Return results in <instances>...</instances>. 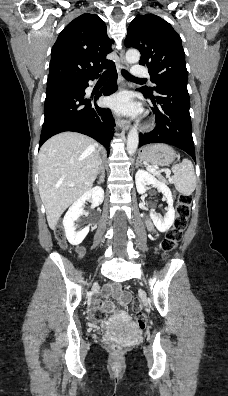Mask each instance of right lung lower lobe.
I'll use <instances>...</instances> for the list:
<instances>
[{
    "instance_id": "obj_1",
    "label": "right lung lower lobe",
    "mask_w": 228,
    "mask_h": 396,
    "mask_svg": "<svg viewBox=\"0 0 228 396\" xmlns=\"http://www.w3.org/2000/svg\"><path fill=\"white\" fill-rule=\"evenodd\" d=\"M111 77L101 92L91 98L85 97L88 81H62L47 85L45 119L39 147L50 137L64 131L88 135L106 149L109 148L114 119L110 109L100 108L96 101L101 95H110L117 90L116 68L110 66ZM98 76L90 79L94 80Z\"/></svg>"
}]
</instances>
